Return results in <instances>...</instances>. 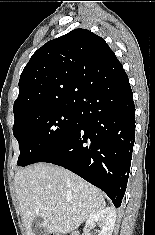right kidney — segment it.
Instances as JSON below:
<instances>
[{"mask_svg":"<svg viewBox=\"0 0 155 235\" xmlns=\"http://www.w3.org/2000/svg\"><path fill=\"white\" fill-rule=\"evenodd\" d=\"M115 221L116 211L112 208H105L87 219L84 230L98 225L101 229L98 235H112Z\"/></svg>","mask_w":155,"mask_h":235,"instance_id":"1","label":"right kidney"}]
</instances>
